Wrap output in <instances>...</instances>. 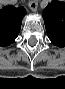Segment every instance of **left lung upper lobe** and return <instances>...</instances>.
<instances>
[{"instance_id": "5c2ea615", "label": "left lung upper lobe", "mask_w": 65, "mask_h": 89, "mask_svg": "<svg viewBox=\"0 0 65 89\" xmlns=\"http://www.w3.org/2000/svg\"><path fill=\"white\" fill-rule=\"evenodd\" d=\"M47 35L58 47H65V3L53 0L43 11Z\"/></svg>"}]
</instances>
